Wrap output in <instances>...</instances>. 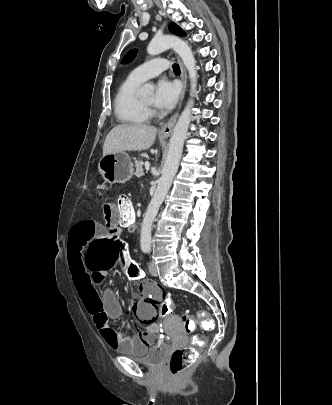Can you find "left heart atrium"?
<instances>
[{"label":"left heart atrium","instance_id":"39dd6f15","mask_svg":"<svg viewBox=\"0 0 332 405\" xmlns=\"http://www.w3.org/2000/svg\"><path fill=\"white\" fill-rule=\"evenodd\" d=\"M179 92L176 82L162 79L157 83L153 103L160 109H171L178 100Z\"/></svg>","mask_w":332,"mask_h":405}]
</instances>
